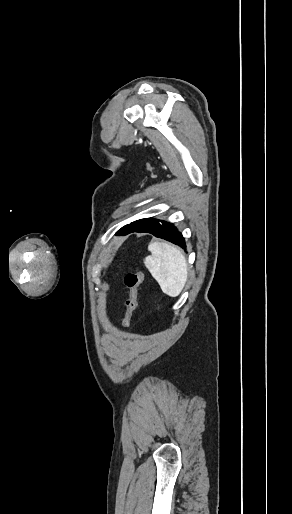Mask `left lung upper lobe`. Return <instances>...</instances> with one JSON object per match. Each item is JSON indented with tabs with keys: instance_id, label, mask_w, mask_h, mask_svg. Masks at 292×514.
Here are the masks:
<instances>
[{
	"instance_id": "obj_1",
	"label": "left lung upper lobe",
	"mask_w": 292,
	"mask_h": 514,
	"mask_svg": "<svg viewBox=\"0 0 292 514\" xmlns=\"http://www.w3.org/2000/svg\"><path fill=\"white\" fill-rule=\"evenodd\" d=\"M156 219L154 218H144L137 221L132 222L131 224L125 225L122 227L116 234L117 235H127L132 232H142L148 229Z\"/></svg>"
}]
</instances>
